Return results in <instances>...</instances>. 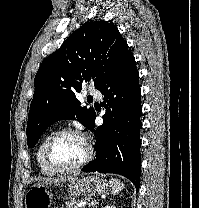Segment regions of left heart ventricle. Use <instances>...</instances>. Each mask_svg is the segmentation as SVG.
<instances>
[{"label":"left heart ventricle","instance_id":"obj_1","mask_svg":"<svg viewBox=\"0 0 199 208\" xmlns=\"http://www.w3.org/2000/svg\"><path fill=\"white\" fill-rule=\"evenodd\" d=\"M86 154V147L80 137L65 135L52 147V159L59 167H71L79 163Z\"/></svg>","mask_w":199,"mask_h":208}]
</instances>
